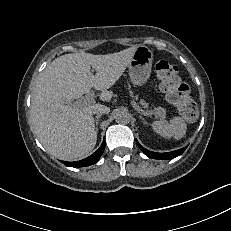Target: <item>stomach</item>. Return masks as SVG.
Here are the masks:
<instances>
[{"label": "stomach", "instance_id": "stomach-1", "mask_svg": "<svg viewBox=\"0 0 231 231\" xmlns=\"http://www.w3.org/2000/svg\"><path fill=\"white\" fill-rule=\"evenodd\" d=\"M153 52L146 46L137 47L128 65L129 76L134 86H143L151 75Z\"/></svg>", "mask_w": 231, "mask_h": 231}]
</instances>
